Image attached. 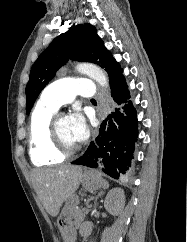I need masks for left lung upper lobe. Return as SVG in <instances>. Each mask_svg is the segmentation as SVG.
<instances>
[{
  "label": "left lung upper lobe",
  "instance_id": "left-lung-upper-lobe-1",
  "mask_svg": "<svg viewBox=\"0 0 187 242\" xmlns=\"http://www.w3.org/2000/svg\"><path fill=\"white\" fill-rule=\"evenodd\" d=\"M69 59L91 62L104 68L108 73L110 84L123 72L120 65L105 48L104 42L97 35L94 26L90 24L74 26L55 38L32 66L26 86L27 114L30 113L42 89Z\"/></svg>",
  "mask_w": 187,
  "mask_h": 242
}]
</instances>
